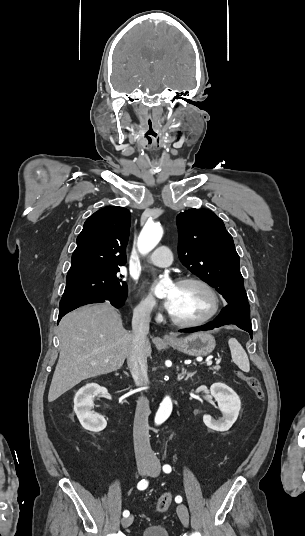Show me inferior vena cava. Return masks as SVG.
Instances as JSON below:
<instances>
[{"label": "inferior vena cava", "instance_id": "inferior-vena-cava-1", "mask_svg": "<svg viewBox=\"0 0 305 536\" xmlns=\"http://www.w3.org/2000/svg\"><path fill=\"white\" fill-rule=\"evenodd\" d=\"M151 310L152 308L145 306V304H141L133 310L132 334L129 336L131 346L127 354V364L136 386H145L147 382L148 366L145 344L149 332ZM149 414V402L147 398L142 396L137 402L133 426L135 456L141 462H151L154 458L149 442Z\"/></svg>", "mask_w": 305, "mask_h": 536}]
</instances>
